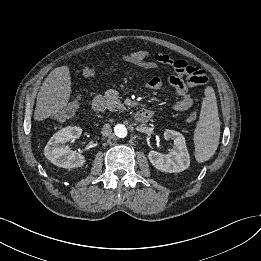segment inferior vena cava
I'll return each instance as SVG.
<instances>
[{"instance_id": "obj_1", "label": "inferior vena cava", "mask_w": 261, "mask_h": 261, "mask_svg": "<svg viewBox=\"0 0 261 261\" xmlns=\"http://www.w3.org/2000/svg\"><path fill=\"white\" fill-rule=\"evenodd\" d=\"M101 134L105 137H108L112 134V128H111L110 124H108V123L104 124V126L101 130Z\"/></svg>"}]
</instances>
